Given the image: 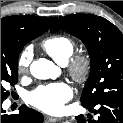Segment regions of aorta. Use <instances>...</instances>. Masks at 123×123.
<instances>
[{"mask_svg":"<svg viewBox=\"0 0 123 123\" xmlns=\"http://www.w3.org/2000/svg\"><path fill=\"white\" fill-rule=\"evenodd\" d=\"M30 72L37 79H55L59 75V68L52 61L40 58L31 63Z\"/></svg>","mask_w":123,"mask_h":123,"instance_id":"762f6f07","label":"aorta"}]
</instances>
